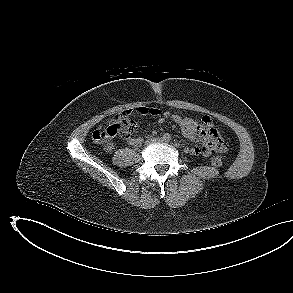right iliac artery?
Instances as JSON below:
<instances>
[{
    "label": "right iliac artery",
    "instance_id": "obj_1",
    "mask_svg": "<svg viewBox=\"0 0 293 293\" xmlns=\"http://www.w3.org/2000/svg\"><path fill=\"white\" fill-rule=\"evenodd\" d=\"M164 140H166V141H170V139H171V136H170V134L169 133H165L164 135H163V137H162Z\"/></svg>",
    "mask_w": 293,
    "mask_h": 293
}]
</instances>
